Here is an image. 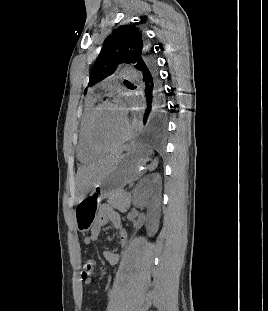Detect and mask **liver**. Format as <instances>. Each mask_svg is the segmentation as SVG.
I'll use <instances>...</instances> for the list:
<instances>
[{"label": "liver", "instance_id": "obj_1", "mask_svg": "<svg viewBox=\"0 0 268 311\" xmlns=\"http://www.w3.org/2000/svg\"><path fill=\"white\" fill-rule=\"evenodd\" d=\"M123 150L113 153L97 162L84 166L78 170L77 173V190L78 202L85 197L92 188L100 182L108 173L112 164L116 161L117 157Z\"/></svg>", "mask_w": 268, "mask_h": 311}]
</instances>
